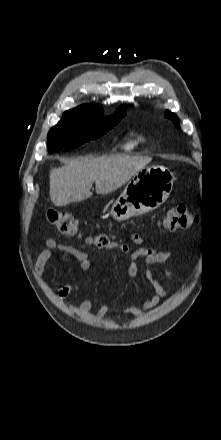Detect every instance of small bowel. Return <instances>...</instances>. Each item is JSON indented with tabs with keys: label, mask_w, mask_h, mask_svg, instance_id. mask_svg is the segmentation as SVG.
<instances>
[{
	"label": "small bowel",
	"mask_w": 221,
	"mask_h": 440,
	"mask_svg": "<svg viewBox=\"0 0 221 440\" xmlns=\"http://www.w3.org/2000/svg\"><path fill=\"white\" fill-rule=\"evenodd\" d=\"M131 240L135 243L141 244L143 239L140 237L138 233H133L131 235ZM107 249H115L122 252L128 260L127 265V276L132 279L134 278L139 271L138 262L140 259H144V274L146 279L149 281L150 285L153 288V295L151 298L145 300L140 307H129L123 311V314L129 316H137L141 315L145 310L151 309L155 307L161 298L167 297L169 295V291L163 287L160 281L154 276L152 272V267L155 265H165V276L168 281L173 282V270L171 265L169 264L171 258L170 251H157L151 248H138L131 249L125 243H114L107 247ZM53 250H61L72 255L78 262L79 268L81 270H88L91 267V258L90 255L80 250L74 246L60 244L54 239H47L45 241V248L39 253L35 262V270L36 273L41 275L44 272V269L52 257ZM72 291V285L66 284L62 286L58 290V298L63 300L67 298ZM92 308L91 300H85L76 306V309L80 313H88ZM110 312V303L107 302L103 304L97 311L98 317H104Z\"/></svg>",
	"instance_id": "c3829d8e"
}]
</instances>
